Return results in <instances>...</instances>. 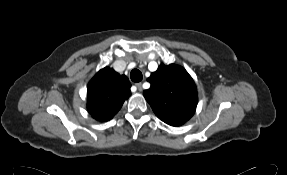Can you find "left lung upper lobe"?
I'll list each match as a JSON object with an SVG mask.
<instances>
[{
    "label": "left lung upper lobe",
    "instance_id": "1",
    "mask_svg": "<svg viewBox=\"0 0 287 175\" xmlns=\"http://www.w3.org/2000/svg\"><path fill=\"white\" fill-rule=\"evenodd\" d=\"M147 81L151 87L143 95L159 119L179 126L193 116L198 103L197 90L184 68L161 64Z\"/></svg>",
    "mask_w": 287,
    "mask_h": 175
}]
</instances>
